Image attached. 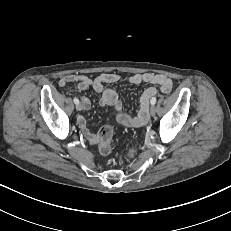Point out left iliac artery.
Segmentation results:
<instances>
[{"instance_id": "left-iliac-artery-1", "label": "left iliac artery", "mask_w": 231, "mask_h": 231, "mask_svg": "<svg viewBox=\"0 0 231 231\" xmlns=\"http://www.w3.org/2000/svg\"><path fill=\"white\" fill-rule=\"evenodd\" d=\"M150 103H151V105H155V103H156V98H155V97L152 98L151 101H150Z\"/></svg>"}]
</instances>
